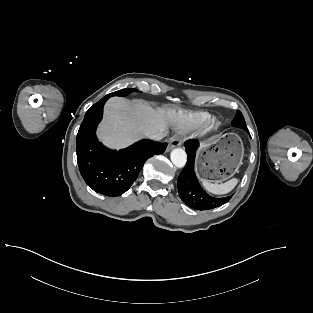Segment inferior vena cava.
I'll list each match as a JSON object with an SVG mask.
<instances>
[{"instance_id":"1","label":"inferior vena cava","mask_w":313,"mask_h":313,"mask_svg":"<svg viewBox=\"0 0 313 313\" xmlns=\"http://www.w3.org/2000/svg\"><path fill=\"white\" fill-rule=\"evenodd\" d=\"M167 135L166 132L164 131H160V132H151V133H148L147 136L152 139V140H155V141H160L162 140L165 136Z\"/></svg>"}]
</instances>
